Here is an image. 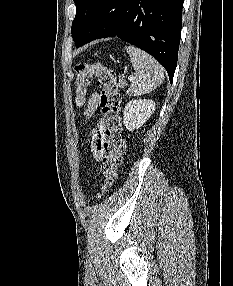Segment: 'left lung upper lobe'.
Returning <instances> with one entry per match:
<instances>
[{
	"label": "left lung upper lobe",
	"instance_id": "1",
	"mask_svg": "<svg viewBox=\"0 0 233 286\" xmlns=\"http://www.w3.org/2000/svg\"><path fill=\"white\" fill-rule=\"evenodd\" d=\"M100 2L101 0H74L76 5V16L72 23V36L74 41L80 37Z\"/></svg>",
	"mask_w": 233,
	"mask_h": 286
}]
</instances>
